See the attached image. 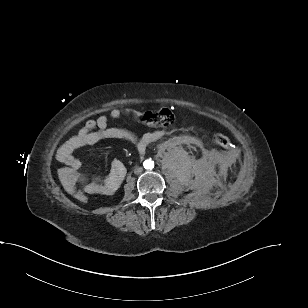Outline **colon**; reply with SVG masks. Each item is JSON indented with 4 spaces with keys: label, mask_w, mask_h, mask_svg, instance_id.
<instances>
[{
    "label": "colon",
    "mask_w": 308,
    "mask_h": 308,
    "mask_svg": "<svg viewBox=\"0 0 308 308\" xmlns=\"http://www.w3.org/2000/svg\"><path fill=\"white\" fill-rule=\"evenodd\" d=\"M137 119L144 125L150 127H158L172 125L174 116L169 109L164 108L157 112H146L139 114L137 115ZM214 142L223 148H228L230 146L229 138L221 133H218L214 136ZM74 197L79 203L85 204L88 202V194L81 189L74 193Z\"/></svg>",
    "instance_id": "obj_1"
}]
</instances>
